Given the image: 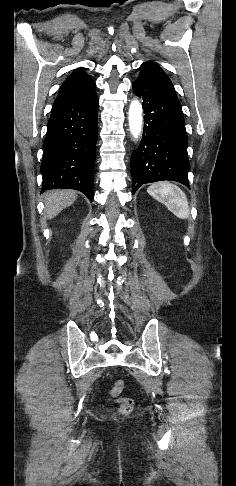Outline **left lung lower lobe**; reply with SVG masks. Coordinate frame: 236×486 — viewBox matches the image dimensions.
Listing matches in <instances>:
<instances>
[{
	"mask_svg": "<svg viewBox=\"0 0 236 486\" xmlns=\"http://www.w3.org/2000/svg\"><path fill=\"white\" fill-rule=\"evenodd\" d=\"M143 100L144 133L131 156L133 194L143 184L171 180L189 187L188 138L180 101L145 79L132 84Z\"/></svg>",
	"mask_w": 236,
	"mask_h": 486,
	"instance_id": "1",
	"label": "left lung lower lobe"
}]
</instances>
